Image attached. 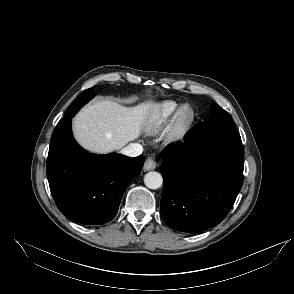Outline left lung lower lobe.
Listing matches in <instances>:
<instances>
[{
	"instance_id": "0a47b994",
	"label": "left lung lower lobe",
	"mask_w": 294,
	"mask_h": 294,
	"mask_svg": "<svg viewBox=\"0 0 294 294\" xmlns=\"http://www.w3.org/2000/svg\"><path fill=\"white\" fill-rule=\"evenodd\" d=\"M161 215L177 231L218 225L231 210L243 183L244 150L232 118H212L184 143L162 152Z\"/></svg>"
}]
</instances>
